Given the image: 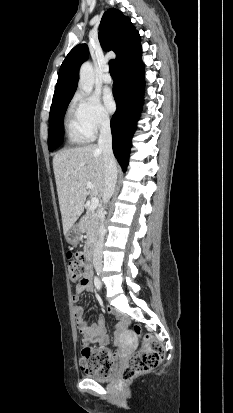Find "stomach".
Instances as JSON below:
<instances>
[{
	"label": "stomach",
	"instance_id": "0dacf381",
	"mask_svg": "<svg viewBox=\"0 0 233 413\" xmlns=\"http://www.w3.org/2000/svg\"><path fill=\"white\" fill-rule=\"evenodd\" d=\"M67 242L76 245L81 239V230L78 224L73 225L66 235Z\"/></svg>",
	"mask_w": 233,
	"mask_h": 413
}]
</instances>
